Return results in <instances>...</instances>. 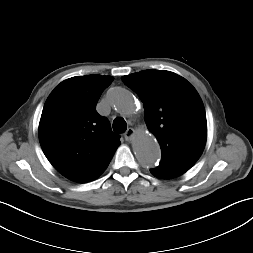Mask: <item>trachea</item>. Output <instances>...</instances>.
<instances>
[{"label":"trachea","instance_id":"3493384b","mask_svg":"<svg viewBox=\"0 0 253 253\" xmlns=\"http://www.w3.org/2000/svg\"><path fill=\"white\" fill-rule=\"evenodd\" d=\"M127 129V123L122 117H117L113 121V130L116 133H124Z\"/></svg>","mask_w":253,"mask_h":253}]
</instances>
